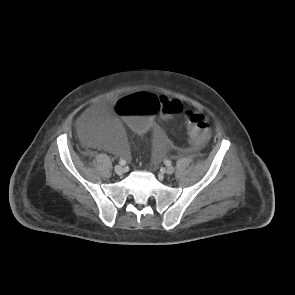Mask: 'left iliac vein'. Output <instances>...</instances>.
I'll return each mask as SVG.
<instances>
[{"mask_svg": "<svg viewBox=\"0 0 295 295\" xmlns=\"http://www.w3.org/2000/svg\"><path fill=\"white\" fill-rule=\"evenodd\" d=\"M174 171H175V168L173 166H168L165 170V173L168 175H171L174 173Z\"/></svg>", "mask_w": 295, "mask_h": 295, "instance_id": "obj_1", "label": "left iliac vein"}]
</instances>
